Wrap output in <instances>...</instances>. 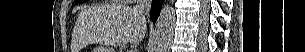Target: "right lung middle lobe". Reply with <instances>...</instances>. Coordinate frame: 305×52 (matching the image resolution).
I'll list each match as a JSON object with an SVG mask.
<instances>
[{
  "mask_svg": "<svg viewBox=\"0 0 305 52\" xmlns=\"http://www.w3.org/2000/svg\"><path fill=\"white\" fill-rule=\"evenodd\" d=\"M85 1H87V0H77V1H75L76 3H82V2H85Z\"/></svg>",
  "mask_w": 305,
  "mask_h": 52,
  "instance_id": "right-lung-middle-lobe-1",
  "label": "right lung middle lobe"
}]
</instances>
